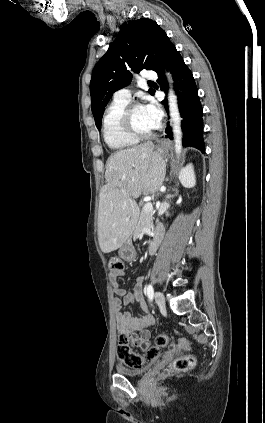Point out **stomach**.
<instances>
[{
	"instance_id": "0dacf381",
	"label": "stomach",
	"mask_w": 265,
	"mask_h": 423,
	"mask_svg": "<svg viewBox=\"0 0 265 423\" xmlns=\"http://www.w3.org/2000/svg\"><path fill=\"white\" fill-rule=\"evenodd\" d=\"M167 149H159V153L164 155ZM119 256L125 261H133L136 258V250L131 242V240H126L118 251Z\"/></svg>"
}]
</instances>
